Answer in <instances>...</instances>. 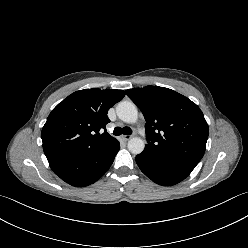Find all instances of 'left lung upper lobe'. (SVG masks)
<instances>
[{"label":"left lung upper lobe","instance_id":"obj_1","mask_svg":"<svg viewBox=\"0 0 248 248\" xmlns=\"http://www.w3.org/2000/svg\"><path fill=\"white\" fill-rule=\"evenodd\" d=\"M146 120L143 152L195 167L204 155L208 124L200 108L187 97L164 87L126 90Z\"/></svg>","mask_w":248,"mask_h":248}]
</instances>
